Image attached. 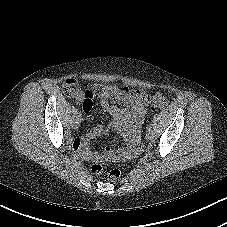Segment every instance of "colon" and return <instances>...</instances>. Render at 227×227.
<instances>
[{"instance_id": "5ec220e1", "label": "colon", "mask_w": 227, "mask_h": 227, "mask_svg": "<svg viewBox=\"0 0 227 227\" xmlns=\"http://www.w3.org/2000/svg\"><path fill=\"white\" fill-rule=\"evenodd\" d=\"M63 91L68 96H75L80 92V85L77 79L69 78L63 83ZM87 102L92 101L93 98H108L118 102H127L131 97H136L139 100L146 102L147 96L142 91L130 90L126 88H118L107 84H95L85 91ZM167 106L166 98L161 94H156L151 100V107L153 109H164ZM91 173L102 174L106 173L109 181L114 182L120 178L121 172L119 169H110L105 171L103 165L99 163L91 164L89 167Z\"/></svg>"}]
</instances>
